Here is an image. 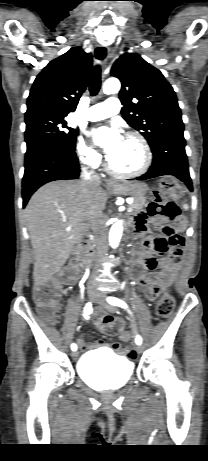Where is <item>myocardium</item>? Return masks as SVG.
I'll return each instance as SVG.
<instances>
[{"mask_svg":"<svg viewBox=\"0 0 208 461\" xmlns=\"http://www.w3.org/2000/svg\"><path fill=\"white\" fill-rule=\"evenodd\" d=\"M124 137L134 138L141 145V148L143 150V155H144V161H143L142 166L139 169L132 171V172L119 171V170H116L112 166L110 159L108 157L106 161L107 170L109 173L117 177H122V178H134V177L141 176L149 169L152 163V152H151L150 145L148 141L146 140V138L137 131H128L125 133Z\"/></svg>","mask_w":208,"mask_h":461,"instance_id":"myocardium-1","label":"myocardium"}]
</instances>
